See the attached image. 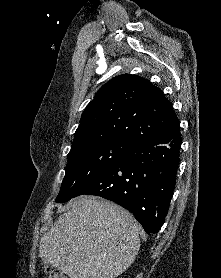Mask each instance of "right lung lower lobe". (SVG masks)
<instances>
[{"label":"right lung lower lobe","instance_id":"obj_1","mask_svg":"<svg viewBox=\"0 0 221 278\" xmlns=\"http://www.w3.org/2000/svg\"><path fill=\"white\" fill-rule=\"evenodd\" d=\"M180 127L134 141L125 155L95 177L76 196L96 195L131 211L146 233L164 224L176 184L181 145Z\"/></svg>","mask_w":221,"mask_h":278}]
</instances>
